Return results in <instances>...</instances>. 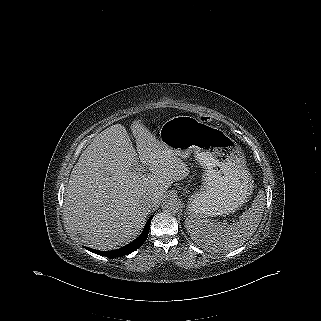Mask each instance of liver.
<instances>
[{
	"label": "liver",
	"mask_w": 321,
	"mask_h": 321,
	"mask_svg": "<svg viewBox=\"0 0 321 321\" xmlns=\"http://www.w3.org/2000/svg\"><path fill=\"white\" fill-rule=\"evenodd\" d=\"M133 147L126 128L115 124L98 134L80 155L64 194L68 227L89 247L112 250L134 240L150 208L173 182L189 175L186 164L133 121ZM140 161L149 173L137 170ZM154 199L147 206L144 199Z\"/></svg>",
	"instance_id": "1"
}]
</instances>
